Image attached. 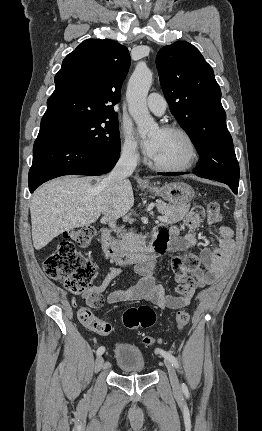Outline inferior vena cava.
I'll list each match as a JSON object with an SVG mask.
<instances>
[{"mask_svg": "<svg viewBox=\"0 0 262 431\" xmlns=\"http://www.w3.org/2000/svg\"><path fill=\"white\" fill-rule=\"evenodd\" d=\"M139 160V155L133 148H124L121 156L116 163L110 174L104 179V184L107 186L110 192H117L121 189L122 185L127 181L133 171L135 170ZM109 215L108 223L109 226L114 229L117 233L120 230L116 227V217L111 214L110 210H106Z\"/></svg>", "mask_w": 262, "mask_h": 431, "instance_id": "inferior-vena-cava-1", "label": "inferior vena cava"}]
</instances>
